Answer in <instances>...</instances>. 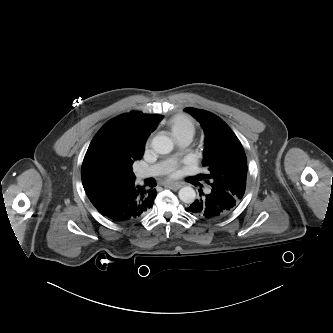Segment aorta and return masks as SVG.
I'll list each match as a JSON object with an SVG mask.
<instances>
[{
    "instance_id": "aorta-1",
    "label": "aorta",
    "mask_w": 333,
    "mask_h": 333,
    "mask_svg": "<svg viewBox=\"0 0 333 333\" xmlns=\"http://www.w3.org/2000/svg\"><path fill=\"white\" fill-rule=\"evenodd\" d=\"M152 148L159 154H168L173 150V142L167 136H156L152 140ZM179 198L182 202L191 204L195 201L196 192L190 186H185L179 190Z\"/></svg>"
}]
</instances>
